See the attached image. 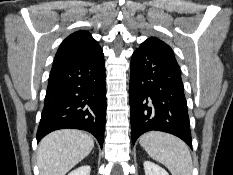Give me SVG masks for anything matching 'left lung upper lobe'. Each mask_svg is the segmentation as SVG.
<instances>
[{
	"label": "left lung upper lobe",
	"instance_id": "left-lung-upper-lobe-1",
	"mask_svg": "<svg viewBox=\"0 0 233 175\" xmlns=\"http://www.w3.org/2000/svg\"><path fill=\"white\" fill-rule=\"evenodd\" d=\"M142 44H146V45L150 46L151 48L157 50L158 52L164 54L165 56L176 61L172 49L170 48V46H168L162 40H160L156 37H151V38L147 39L146 41H144Z\"/></svg>",
	"mask_w": 233,
	"mask_h": 175
}]
</instances>
